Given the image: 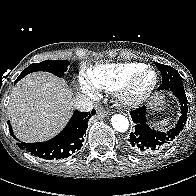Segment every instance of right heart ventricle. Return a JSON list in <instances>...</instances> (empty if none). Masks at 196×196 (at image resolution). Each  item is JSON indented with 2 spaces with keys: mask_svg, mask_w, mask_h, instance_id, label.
<instances>
[{
  "mask_svg": "<svg viewBox=\"0 0 196 196\" xmlns=\"http://www.w3.org/2000/svg\"><path fill=\"white\" fill-rule=\"evenodd\" d=\"M143 66V63L137 62L101 64L88 70L87 80L96 89L117 91L132 74Z\"/></svg>",
  "mask_w": 196,
  "mask_h": 196,
  "instance_id": "e07e8e85",
  "label": "right heart ventricle"
}]
</instances>
